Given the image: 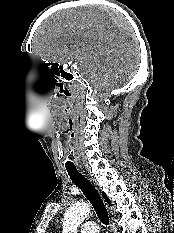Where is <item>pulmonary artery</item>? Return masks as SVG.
<instances>
[{
    "label": "pulmonary artery",
    "mask_w": 174,
    "mask_h": 233,
    "mask_svg": "<svg viewBox=\"0 0 174 233\" xmlns=\"http://www.w3.org/2000/svg\"><path fill=\"white\" fill-rule=\"evenodd\" d=\"M81 233H99V227L93 221L85 222L80 227Z\"/></svg>",
    "instance_id": "e3ab8cb5"
}]
</instances>
